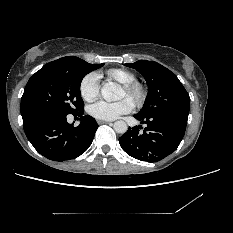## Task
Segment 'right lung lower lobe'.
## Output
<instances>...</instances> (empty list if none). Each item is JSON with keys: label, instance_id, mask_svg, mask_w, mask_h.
<instances>
[{"label": "right lung lower lobe", "instance_id": "98d812e1", "mask_svg": "<svg viewBox=\"0 0 233 233\" xmlns=\"http://www.w3.org/2000/svg\"><path fill=\"white\" fill-rule=\"evenodd\" d=\"M83 110L74 116L80 117V124L73 127L66 114H48L23 124L25 134L33 147L44 157L54 161L74 159L91 145L99 125Z\"/></svg>", "mask_w": 233, "mask_h": 233}]
</instances>
